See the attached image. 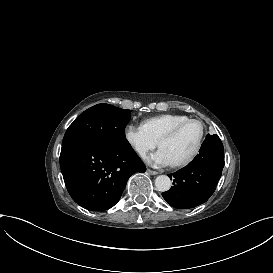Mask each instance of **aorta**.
Here are the masks:
<instances>
[{
	"mask_svg": "<svg viewBox=\"0 0 273 273\" xmlns=\"http://www.w3.org/2000/svg\"><path fill=\"white\" fill-rule=\"evenodd\" d=\"M172 186V182L167 175H159L155 179V188L160 192L168 191Z\"/></svg>",
	"mask_w": 273,
	"mask_h": 273,
	"instance_id": "aorta-1",
	"label": "aorta"
}]
</instances>
